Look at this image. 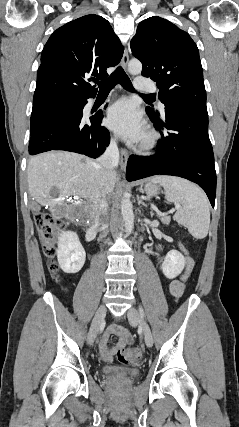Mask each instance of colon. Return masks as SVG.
<instances>
[{"mask_svg":"<svg viewBox=\"0 0 239 427\" xmlns=\"http://www.w3.org/2000/svg\"><path fill=\"white\" fill-rule=\"evenodd\" d=\"M35 221L44 244V252L47 257L53 258L55 255V237L63 228V224L46 213L36 215ZM157 247L159 248L160 246L158 245ZM160 251L162 252L163 250L161 249ZM50 269L55 273L56 280H59L60 278L57 275V266L54 262L50 263ZM157 269L163 270L164 264L158 263ZM141 356L142 350L139 347L122 348L117 352V360L125 365H136L141 359Z\"/></svg>","mask_w":239,"mask_h":427,"instance_id":"colon-1","label":"colon"}]
</instances>
